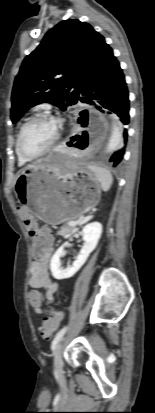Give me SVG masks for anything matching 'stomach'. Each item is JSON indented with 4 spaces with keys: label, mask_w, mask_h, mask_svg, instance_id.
<instances>
[{
    "label": "stomach",
    "mask_w": 155,
    "mask_h": 413,
    "mask_svg": "<svg viewBox=\"0 0 155 413\" xmlns=\"http://www.w3.org/2000/svg\"><path fill=\"white\" fill-rule=\"evenodd\" d=\"M101 184L86 167L64 168L53 159L35 162L18 172L15 194L40 220L58 225L93 210Z\"/></svg>",
    "instance_id": "0dacf381"
}]
</instances>
